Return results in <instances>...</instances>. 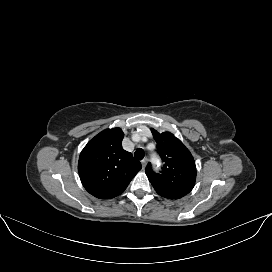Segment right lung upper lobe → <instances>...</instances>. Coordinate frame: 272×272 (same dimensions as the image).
<instances>
[{"label":"right lung upper lobe","instance_id":"cb5924a9","mask_svg":"<svg viewBox=\"0 0 272 272\" xmlns=\"http://www.w3.org/2000/svg\"><path fill=\"white\" fill-rule=\"evenodd\" d=\"M120 128L106 129L82 150L78 172L84 188L99 199H111L124 192L140 171L141 163L123 150Z\"/></svg>","mask_w":272,"mask_h":272}]
</instances>
